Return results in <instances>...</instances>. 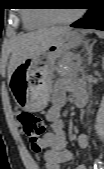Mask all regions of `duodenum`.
I'll use <instances>...</instances> for the list:
<instances>
[{
	"mask_svg": "<svg viewBox=\"0 0 104 169\" xmlns=\"http://www.w3.org/2000/svg\"><path fill=\"white\" fill-rule=\"evenodd\" d=\"M76 103L78 105V107H86L87 106V98L86 96H82V97H78L76 100Z\"/></svg>",
	"mask_w": 104,
	"mask_h": 169,
	"instance_id": "1",
	"label": "duodenum"
}]
</instances>
